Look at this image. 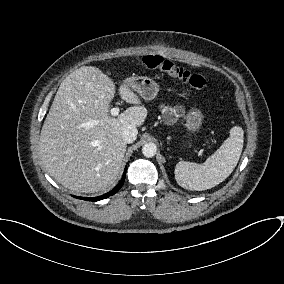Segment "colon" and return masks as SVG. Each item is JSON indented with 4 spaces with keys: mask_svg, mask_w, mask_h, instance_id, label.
Here are the masks:
<instances>
[{
    "mask_svg": "<svg viewBox=\"0 0 284 284\" xmlns=\"http://www.w3.org/2000/svg\"><path fill=\"white\" fill-rule=\"evenodd\" d=\"M145 66L151 70H160L172 78L185 83L192 88L202 90L206 86L204 76L179 67L173 61L165 59L158 55H149L143 58Z\"/></svg>",
    "mask_w": 284,
    "mask_h": 284,
    "instance_id": "1",
    "label": "colon"
}]
</instances>
